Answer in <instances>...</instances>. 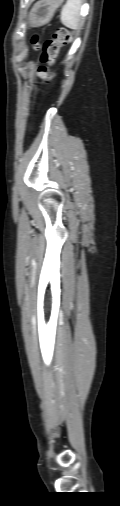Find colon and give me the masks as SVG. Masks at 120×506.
<instances>
[{
  "label": "colon",
  "mask_w": 120,
  "mask_h": 506,
  "mask_svg": "<svg viewBox=\"0 0 120 506\" xmlns=\"http://www.w3.org/2000/svg\"><path fill=\"white\" fill-rule=\"evenodd\" d=\"M34 44L39 46L38 37L33 38ZM72 41V34L65 29L57 30L52 38L46 40L41 46V66L39 68L40 78L44 82L50 81L54 77L51 70L52 65L55 63L59 50L62 46L69 44Z\"/></svg>",
  "instance_id": "colon-1"
}]
</instances>
